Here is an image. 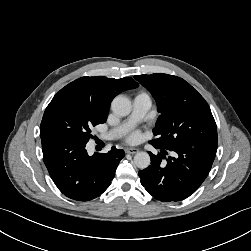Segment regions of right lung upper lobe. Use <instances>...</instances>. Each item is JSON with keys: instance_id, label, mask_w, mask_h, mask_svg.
Segmentation results:
<instances>
[{"instance_id": "1", "label": "right lung upper lobe", "mask_w": 251, "mask_h": 251, "mask_svg": "<svg viewBox=\"0 0 251 251\" xmlns=\"http://www.w3.org/2000/svg\"><path fill=\"white\" fill-rule=\"evenodd\" d=\"M138 87L130 77L121 79L104 76L81 77L58 93H70L91 105L100 115L107 117L111 101L121 92Z\"/></svg>"}]
</instances>
